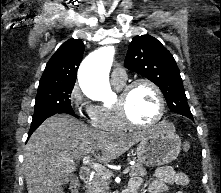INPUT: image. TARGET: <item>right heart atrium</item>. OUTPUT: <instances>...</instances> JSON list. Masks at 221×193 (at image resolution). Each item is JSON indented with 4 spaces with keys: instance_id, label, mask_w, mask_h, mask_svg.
<instances>
[{
    "instance_id": "1",
    "label": "right heart atrium",
    "mask_w": 221,
    "mask_h": 193,
    "mask_svg": "<svg viewBox=\"0 0 221 193\" xmlns=\"http://www.w3.org/2000/svg\"><path fill=\"white\" fill-rule=\"evenodd\" d=\"M69 104L82 115L92 118L95 106L82 94L78 84H75L68 95Z\"/></svg>"
}]
</instances>
